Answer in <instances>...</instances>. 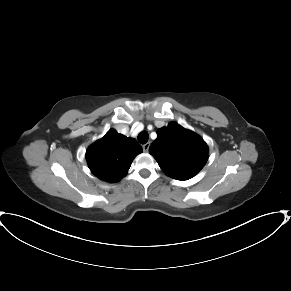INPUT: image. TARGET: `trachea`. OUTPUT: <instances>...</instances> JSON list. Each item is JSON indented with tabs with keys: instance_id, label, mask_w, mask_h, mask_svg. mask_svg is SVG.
Masks as SVG:
<instances>
[{
	"instance_id": "1",
	"label": "trachea",
	"mask_w": 291,
	"mask_h": 291,
	"mask_svg": "<svg viewBox=\"0 0 291 291\" xmlns=\"http://www.w3.org/2000/svg\"><path fill=\"white\" fill-rule=\"evenodd\" d=\"M149 135L147 131H142L139 135H138V141L141 144H145L148 141Z\"/></svg>"
}]
</instances>
